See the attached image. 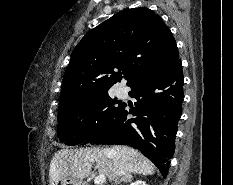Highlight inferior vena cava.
<instances>
[{
  "label": "inferior vena cava",
  "mask_w": 233,
  "mask_h": 185,
  "mask_svg": "<svg viewBox=\"0 0 233 185\" xmlns=\"http://www.w3.org/2000/svg\"><path fill=\"white\" fill-rule=\"evenodd\" d=\"M109 166H110V168H111V163H109Z\"/></svg>",
  "instance_id": "inferior-vena-cava-1"
}]
</instances>
